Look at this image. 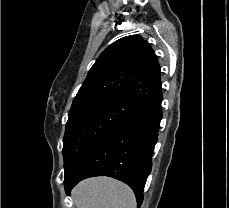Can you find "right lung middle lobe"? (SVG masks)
Instances as JSON below:
<instances>
[{
  "mask_svg": "<svg viewBox=\"0 0 229 208\" xmlns=\"http://www.w3.org/2000/svg\"><path fill=\"white\" fill-rule=\"evenodd\" d=\"M144 107L122 96H103L71 107L63 140L65 174L95 142Z\"/></svg>",
  "mask_w": 229,
  "mask_h": 208,
  "instance_id": "obj_1",
  "label": "right lung middle lobe"
}]
</instances>
